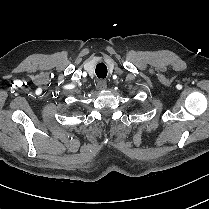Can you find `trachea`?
Returning a JSON list of instances; mask_svg holds the SVG:
<instances>
[{
    "mask_svg": "<svg viewBox=\"0 0 209 209\" xmlns=\"http://www.w3.org/2000/svg\"><path fill=\"white\" fill-rule=\"evenodd\" d=\"M95 73L100 80H103L107 76V67L104 63H99L96 66Z\"/></svg>",
    "mask_w": 209,
    "mask_h": 209,
    "instance_id": "1",
    "label": "trachea"
}]
</instances>
